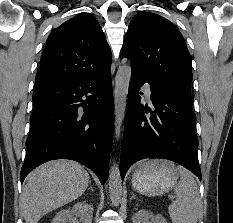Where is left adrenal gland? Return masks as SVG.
<instances>
[{
	"label": "left adrenal gland",
	"mask_w": 233,
	"mask_h": 223,
	"mask_svg": "<svg viewBox=\"0 0 233 223\" xmlns=\"http://www.w3.org/2000/svg\"><path fill=\"white\" fill-rule=\"evenodd\" d=\"M131 193H132V197H133V199H136V197H135V195H134L133 191H131Z\"/></svg>",
	"instance_id": "obj_1"
}]
</instances>
